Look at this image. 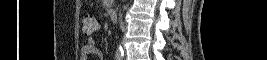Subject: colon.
Instances as JSON below:
<instances>
[{
  "instance_id": "5ec220e1",
  "label": "colon",
  "mask_w": 267,
  "mask_h": 60,
  "mask_svg": "<svg viewBox=\"0 0 267 60\" xmlns=\"http://www.w3.org/2000/svg\"><path fill=\"white\" fill-rule=\"evenodd\" d=\"M82 24H83V26H82L83 31L85 33H92L95 30H97L99 27L98 19L91 14L84 15Z\"/></svg>"
}]
</instances>
